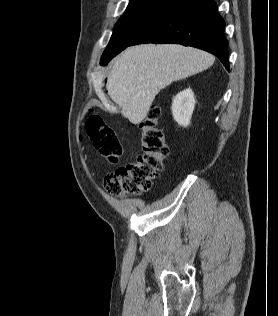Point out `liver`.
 I'll return each instance as SVG.
<instances>
[{
	"label": "liver",
	"instance_id": "6515ba94",
	"mask_svg": "<svg viewBox=\"0 0 278 316\" xmlns=\"http://www.w3.org/2000/svg\"><path fill=\"white\" fill-rule=\"evenodd\" d=\"M214 61L205 51L181 45L130 47L114 61L106 89L122 115L139 124L160 90L208 69Z\"/></svg>",
	"mask_w": 278,
	"mask_h": 316
}]
</instances>
